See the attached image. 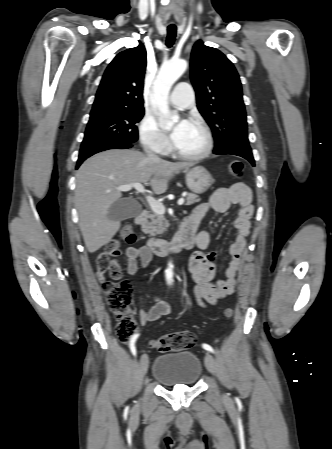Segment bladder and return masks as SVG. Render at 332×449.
Segmentation results:
<instances>
[{"label":"bladder","instance_id":"31cf9c89","mask_svg":"<svg viewBox=\"0 0 332 449\" xmlns=\"http://www.w3.org/2000/svg\"><path fill=\"white\" fill-rule=\"evenodd\" d=\"M202 375V364L195 353L178 351L156 357L152 377L166 387L195 385Z\"/></svg>","mask_w":332,"mask_h":449}]
</instances>
